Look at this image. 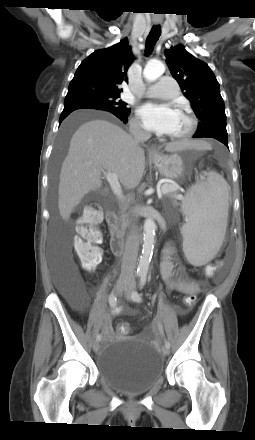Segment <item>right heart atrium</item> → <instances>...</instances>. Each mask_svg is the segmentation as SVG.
<instances>
[{"mask_svg": "<svg viewBox=\"0 0 255 440\" xmlns=\"http://www.w3.org/2000/svg\"><path fill=\"white\" fill-rule=\"evenodd\" d=\"M131 129L134 131V132H141V131H143V126H142V124L140 123V121L138 120V119H133L132 120V122H131Z\"/></svg>", "mask_w": 255, "mask_h": 440, "instance_id": "obj_1", "label": "right heart atrium"}]
</instances>
